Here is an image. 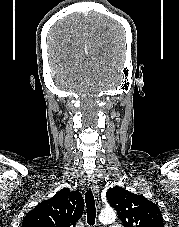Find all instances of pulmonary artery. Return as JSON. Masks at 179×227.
Returning a JSON list of instances; mask_svg holds the SVG:
<instances>
[{
  "label": "pulmonary artery",
  "mask_w": 179,
  "mask_h": 227,
  "mask_svg": "<svg viewBox=\"0 0 179 227\" xmlns=\"http://www.w3.org/2000/svg\"><path fill=\"white\" fill-rule=\"evenodd\" d=\"M109 227H121V225H119V224H110Z\"/></svg>",
  "instance_id": "obj_1"
}]
</instances>
